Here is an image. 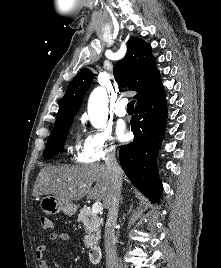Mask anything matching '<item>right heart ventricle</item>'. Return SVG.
Here are the masks:
<instances>
[{"instance_id":"right-heart-ventricle-1","label":"right heart ventricle","mask_w":221,"mask_h":268,"mask_svg":"<svg viewBox=\"0 0 221 268\" xmlns=\"http://www.w3.org/2000/svg\"><path fill=\"white\" fill-rule=\"evenodd\" d=\"M72 158L78 163H91L92 160L86 149L85 142H82L79 136H77L71 147Z\"/></svg>"}]
</instances>
